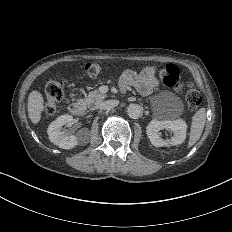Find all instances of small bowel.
<instances>
[{
  "mask_svg": "<svg viewBox=\"0 0 232 232\" xmlns=\"http://www.w3.org/2000/svg\"><path fill=\"white\" fill-rule=\"evenodd\" d=\"M123 77L145 97L151 96L161 87L154 67H148L140 73L133 70H125Z\"/></svg>",
  "mask_w": 232,
  "mask_h": 232,
  "instance_id": "1",
  "label": "small bowel"
}]
</instances>
